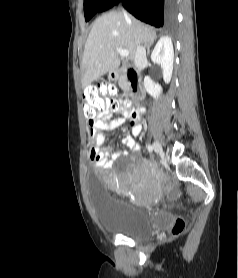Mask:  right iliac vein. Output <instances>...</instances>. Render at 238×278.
I'll use <instances>...</instances> for the list:
<instances>
[{
    "instance_id": "obj_1",
    "label": "right iliac vein",
    "mask_w": 238,
    "mask_h": 278,
    "mask_svg": "<svg viewBox=\"0 0 238 278\" xmlns=\"http://www.w3.org/2000/svg\"><path fill=\"white\" fill-rule=\"evenodd\" d=\"M153 149L157 154H159L160 156H163V154H164L163 149H162L161 144L158 141H154Z\"/></svg>"
}]
</instances>
